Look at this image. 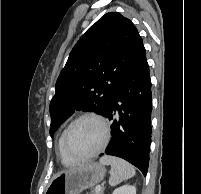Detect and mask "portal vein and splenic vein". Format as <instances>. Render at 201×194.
Here are the masks:
<instances>
[{
	"label": "portal vein and splenic vein",
	"mask_w": 201,
	"mask_h": 194,
	"mask_svg": "<svg viewBox=\"0 0 201 194\" xmlns=\"http://www.w3.org/2000/svg\"><path fill=\"white\" fill-rule=\"evenodd\" d=\"M100 190H101V186H100V185H97L96 188H95V191L98 192V191H100Z\"/></svg>",
	"instance_id": "portal-vein-and-splenic-vein-1"
}]
</instances>
